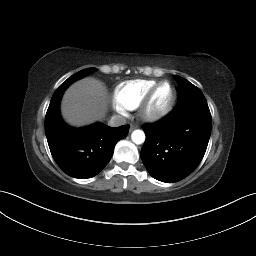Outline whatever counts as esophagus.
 Listing matches in <instances>:
<instances>
[{"mask_svg":"<svg viewBox=\"0 0 256 256\" xmlns=\"http://www.w3.org/2000/svg\"><path fill=\"white\" fill-rule=\"evenodd\" d=\"M137 128V125L135 124H130V131H133L134 129Z\"/></svg>","mask_w":256,"mask_h":256,"instance_id":"esophagus-1","label":"esophagus"}]
</instances>
